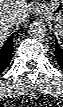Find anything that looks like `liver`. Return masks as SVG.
Returning <instances> with one entry per match:
<instances>
[{"mask_svg": "<svg viewBox=\"0 0 63 107\" xmlns=\"http://www.w3.org/2000/svg\"><path fill=\"white\" fill-rule=\"evenodd\" d=\"M29 13L30 4H28L27 0H0V43L5 41L13 26L27 20ZM10 16L16 17V23L13 26L5 22Z\"/></svg>", "mask_w": 63, "mask_h": 107, "instance_id": "1", "label": "liver"}]
</instances>
